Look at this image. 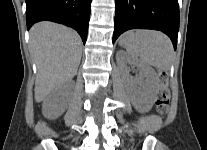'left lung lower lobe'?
Returning a JSON list of instances; mask_svg holds the SVG:
<instances>
[{"label":"left lung lower lobe","mask_w":207,"mask_h":150,"mask_svg":"<svg viewBox=\"0 0 207 150\" xmlns=\"http://www.w3.org/2000/svg\"><path fill=\"white\" fill-rule=\"evenodd\" d=\"M113 43L130 29H154L167 34L174 48L179 30L178 0H115Z\"/></svg>","instance_id":"1"}]
</instances>
